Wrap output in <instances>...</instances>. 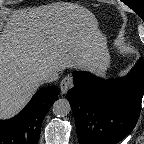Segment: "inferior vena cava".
I'll return each mask as SVG.
<instances>
[{
  "instance_id": "602c4592",
  "label": "inferior vena cava",
  "mask_w": 144,
  "mask_h": 144,
  "mask_svg": "<svg viewBox=\"0 0 144 144\" xmlns=\"http://www.w3.org/2000/svg\"><path fill=\"white\" fill-rule=\"evenodd\" d=\"M58 79V72L53 70H48L41 75L42 82H53Z\"/></svg>"
}]
</instances>
